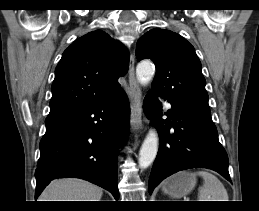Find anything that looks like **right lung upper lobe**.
<instances>
[{
	"mask_svg": "<svg viewBox=\"0 0 259 211\" xmlns=\"http://www.w3.org/2000/svg\"><path fill=\"white\" fill-rule=\"evenodd\" d=\"M128 65L125 47L107 33L96 30L78 38L56 67L49 115L116 96L122 91L117 79L126 74Z\"/></svg>",
	"mask_w": 259,
	"mask_h": 211,
	"instance_id": "cb5924a9",
	"label": "right lung upper lobe"
}]
</instances>
